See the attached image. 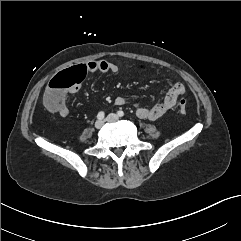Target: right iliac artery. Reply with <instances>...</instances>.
I'll return each mask as SVG.
<instances>
[{"label": "right iliac artery", "mask_w": 241, "mask_h": 241, "mask_svg": "<svg viewBox=\"0 0 241 241\" xmlns=\"http://www.w3.org/2000/svg\"><path fill=\"white\" fill-rule=\"evenodd\" d=\"M104 116H105L104 112L101 111V112L98 113L97 118H98L99 120H102V119L104 118Z\"/></svg>", "instance_id": "right-iliac-artery-1"}]
</instances>
